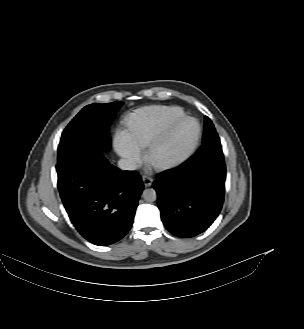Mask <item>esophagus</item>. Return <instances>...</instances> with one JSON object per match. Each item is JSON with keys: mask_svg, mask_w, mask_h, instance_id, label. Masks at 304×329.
<instances>
[{"mask_svg": "<svg viewBox=\"0 0 304 329\" xmlns=\"http://www.w3.org/2000/svg\"><path fill=\"white\" fill-rule=\"evenodd\" d=\"M142 180L145 187H150L153 183V179L146 175L142 177Z\"/></svg>", "mask_w": 304, "mask_h": 329, "instance_id": "esophagus-1", "label": "esophagus"}]
</instances>
